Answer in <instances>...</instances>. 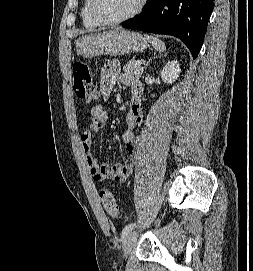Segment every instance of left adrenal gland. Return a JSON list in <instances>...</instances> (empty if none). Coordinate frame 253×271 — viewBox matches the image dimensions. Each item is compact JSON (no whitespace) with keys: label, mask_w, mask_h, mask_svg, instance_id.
<instances>
[{"label":"left adrenal gland","mask_w":253,"mask_h":271,"mask_svg":"<svg viewBox=\"0 0 253 271\" xmlns=\"http://www.w3.org/2000/svg\"><path fill=\"white\" fill-rule=\"evenodd\" d=\"M165 55H167V53H165ZM151 61V59H149L146 63V67L148 66L149 62Z\"/></svg>","instance_id":"obj_1"}]
</instances>
